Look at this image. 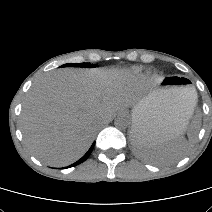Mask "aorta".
Segmentation results:
<instances>
[{
  "label": "aorta",
  "instance_id": "obj_1",
  "mask_svg": "<svg viewBox=\"0 0 212 212\" xmlns=\"http://www.w3.org/2000/svg\"><path fill=\"white\" fill-rule=\"evenodd\" d=\"M114 125L118 129H124L128 126V120L123 116H118L114 121Z\"/></svg>",
  "mask_w": 212,
  "mask_h": 212
}]
</instances>
